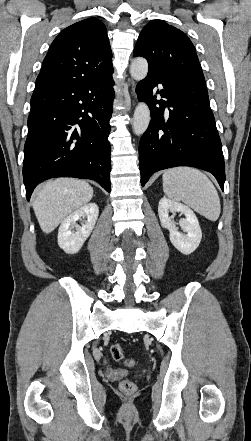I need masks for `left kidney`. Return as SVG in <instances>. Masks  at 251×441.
<instances>
[{
  "instance_id": "left-kidney-1",
  "label": "left kidney",
  "mask_w": 251,
  "mask_h": 441,
  "mask_svg": "<svg viewBox=\"0 0 251 441\" xmlns=\"http://www.w3.org/2000/svg\"><path fill=\"white\" fill-rule=\"evenodd\" d=\"M169 212H180L185 218L179 221L181 229L185 234L180 233L176 228L173 216ZM158 215L162 227L169 230V239L173 246L182 254L189 255L194 252L202 239V232L195 213L186 205L161 198L158 205Z\"/></svg>"
}]
</instances>
